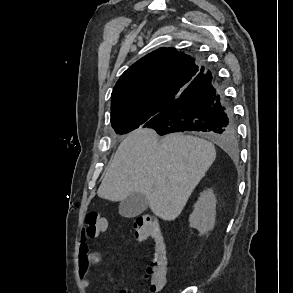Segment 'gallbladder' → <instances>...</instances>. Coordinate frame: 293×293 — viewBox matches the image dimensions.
<instances>
[{
    "label": "gallbladder",
    "instance_id": "gallbladder-1",
    "mask_svg": "<svg viewBox=\"0 0 293 293\" xmlns=\"http://www.w3.org/2000/svg\"><path fill=\"white\" fill-rule=\"evenodd\" d=\"M149 207L147 197L141 193H133L121 201L119 214L125 218H133L140 215Z\"/></svg>",
    "mask_w": 293,
    "mask_h": 293
}]
</instances>
